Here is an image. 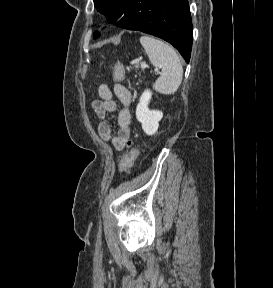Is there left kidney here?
<instances>
[{
    "instance_id": "obj_1",
    "label": "left kidney",
    "mask_w": 273,
    "mask_h": 288,
    "mask_svg": "<svg viewBox=\"0 0 273 288\" xmlns=\"http://www.w3.org/2000/svg\"><path fill=\"white\" fill-rule=\"evenodd\" d=\"M152 92L145 90L139 100L136 108V118L142 124V129L147 135H154L159 127V121L163 117L162 111L150 110L148 104L150 103Z\"/></svg>"
}]
</instances>
